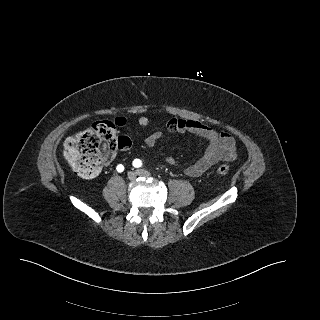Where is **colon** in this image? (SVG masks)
Masks as SVG:
<instances>
[{
    "instance_id": "colon-1",
    "label": "colon",
    "mask_w": 320,
    "mask_h": 320,
    "mask_svg": "<svg viewBox=\"0 0 320 320\" xmlns=\"http://www.w3.org/2000/svg\"><path fill=\"white\" fill-rule=\"evenodd\" d=\"M130 145L128 137L117 136L113 122L98 121L86 130L69 137L64 143L63 153L79 175L91 178L98 174L101 166L111 161L118 148L126 149ZM217 172L227 175L229 167L221 164Z\"/></svg>"
}]
</instances>
